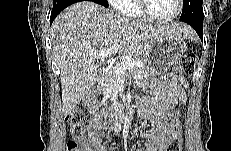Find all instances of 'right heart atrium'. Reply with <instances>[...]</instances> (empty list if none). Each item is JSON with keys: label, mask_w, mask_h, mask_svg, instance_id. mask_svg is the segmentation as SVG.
I'll return each instance as SVG.
<instances>
[{"label": "right heart atrium", "mask_w": 231, "mask_h": 151, "mask_svg": "<svg viewBox=\"0 0 231 151\" xmlns=\"http://www.w3.org/2000/svg\"><path fill=\"white\" fill-rule=\"evenodd\" d=\"M124 0H110L109 3L117 10L121 11L123 4H124Z\"/></svg>", "instance_id": "right-heart-atrium-1"}]
</instances>
